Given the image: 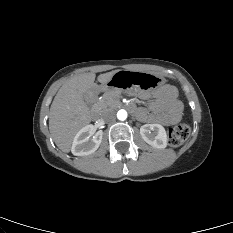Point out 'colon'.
I'll use <instances>...</instances> for the list:
<instances>
[{
  "mask_svg": "<svg viewBox=\"0 0 233 233\" xmlns=\"http://www.w3.org/2000/svg\"><path fill=\"white\" fill-rule=\"evenodd\" d=\"M190 135V128L187 124H179L170 127L167 133V139L171 146H180Z\"/></svg>",
  "mask_w": 233,
  "mask_h": 233,
  "instance_id": "5ec220e1",
  "label": "colon"
}]
</instances>
